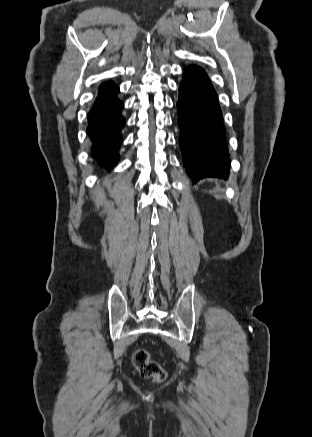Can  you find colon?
<instances>
[{
	"instance_id": "colon-1",
	"label": "colon",
	"mask_w": 312,
	"mask_h": 437,
	"mask_svg": "<svg viewBox=\"0 0 312 437\" xmlns=\"http://www.w3.org/2000/svg\"><path fill=\"white\" fill-rule=\"evenodd\" d=\"M133 365L144 378L155 382H162L166 379L167 373L164 368L155 360H152L145 349L137 350L132 358Z\"/></svg>"
}]
</instances>
